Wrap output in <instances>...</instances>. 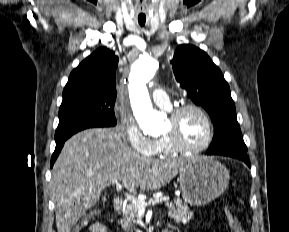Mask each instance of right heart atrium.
<instances>
[{
    "instance_id": "obj_1",
    "label": "right heart atrium",
    "mask_w": 289,
    "mask_h": 232,
    "mask_svg": "<svg viewBox=\"0 0 289 232\" xmlns=\"http://www.w3.org/2000/svg\"><path fill=\"white\" fill-rule=\"evenodd\" d=\"M121 128L130 148L142 156H153L157 148V140L145 135L135 120L129 116H123L121 119Z\"/></svg>"
}]
</instances>
